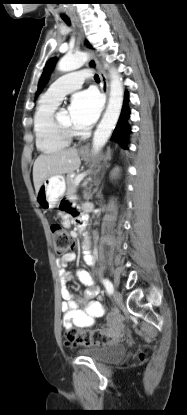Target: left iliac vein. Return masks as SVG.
I'll use <instances>...</instances> for the list:
<instances>
[{
  "label": "left iliac vein",
  "mask_w": 187,
  "mask_h": 415,
  "mask_svg": "<svg viewBox=\"0 0 187 415\" xmlns=\"http://www.w3.org/2000/svg\"><path fill=\"white\" fill-rule=\"evenodd\" d=\"M113 299L117 304L122 302V294L117 289L113 292Z\"/></svg>",
  "instance_id": "4c4485c4"
}]
</instances>
